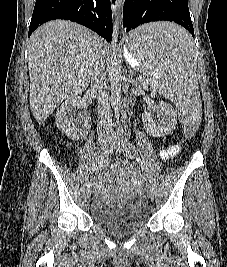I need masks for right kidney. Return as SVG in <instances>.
<instances>
[{
	"mask_svg": "<svg viewBox=\"0 0 227 267\" xmlns=\"http://www.w3.org/2000/svg\"><path fill=\"white\" fill-rule=\"evenodd\" d=\"M82 105L80 97H72L65 100L56 112V126L67 137L79 140L87 136L91 127V119L84 117L75 119V112Z\"/></svg>",
	"mask_w": 227,
	"mask_h": 267,
	"instance_id": "ca27d5eb",
	"label": "right kidney"
}]
</instances>
